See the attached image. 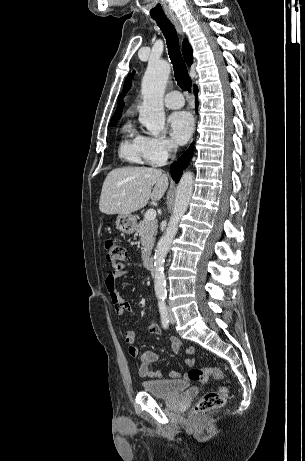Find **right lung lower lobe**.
Here are the masks:
<instances>
[{
	"mask_svg": "<svg viewBox=\"0 0 305 461\" xmlns=\"http://www.w3.org/2000/svg\"><path fill=\"white\" fill-rule=\"evenodd\" d=\"M195 94L197 96V89L195 88ZM198 107V101L196 100V109ZM193 145L176 161L171 165L170 171L172 178L175 182L180 180L183 170L188 166L189 161L193 155Z\"/></svg>",
	"mask_w": 305,
	"mask_h": 461,
	"instance_id": "1",
	"label": "right lung lower lobe"
}]
</instances>
